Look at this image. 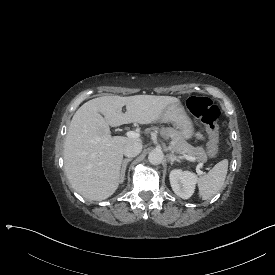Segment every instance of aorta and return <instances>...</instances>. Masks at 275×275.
<instances>
[{"label": "aorta", "instance_id": "aorta-1", "mask_svg": "<svg viewBox=\"0 0 275 275\" xmlns=\"http://www.w3.org/2000/svg\"><path fill=\"white\" fill-rule=\"evenodd\" d=\"M164 158L163 151L160 149H153L150 151L148 159L152 164H160Z\"/></svg>", "mask_w": 275, "mask_h": 275}]
</instances>
